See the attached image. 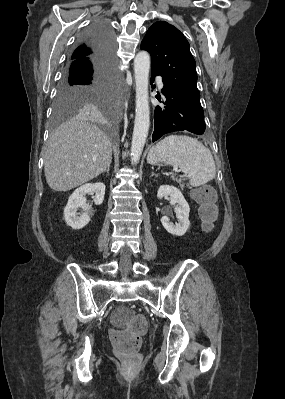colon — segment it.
<instances>
[{
    "instance_id": "5ec220e1",
    "label": "colon",
    "mask_w": 285,
    "mask_h": 399,
    "mask_svg": "<svg viewBox=\"0 0 285 399\" xmlns=\"http://www.w3.org/2000/svg\"><path fill=\"white\" fill-rule=\"evenodd\" d=\"M192 197L200 204L204 230H210L217 216L214 194L207 187H200L192 191ZM145 331L146 321L139 316H132L124 328L112 330L110 338L116 356L126 362H136Z\"/></svg>"
}]
</instances>
